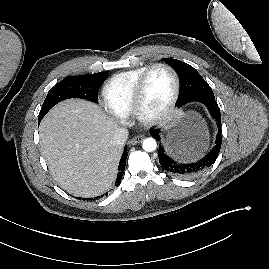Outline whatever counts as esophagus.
Segmentation results:
<instances>
[{
    "instance_id": "1",
    "label": "esophagus",
    "mask_w": 269,
    "mask_h": 269,
    "mask_svg": "<svg viewBox=\"0 0 269 269\" xmlns=\"http://www.w3.org/2000/svg\"><path fill=\"white\" fill-rule=\"evenodd\" d=\"M144 139V136L143 135H137L135 136L134 138H132L129 143L131 145H136L137 143H140L142 140Z\"/></svg>"
}]
</instances>
